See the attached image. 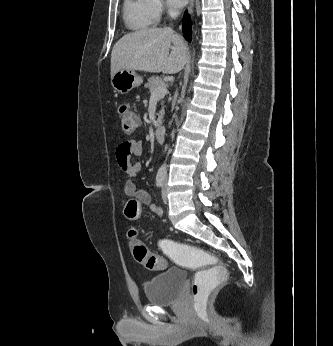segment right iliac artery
<instances>
[{
	"label": "right iliac artery",
	"instance_id": "right-iliac-artery-1",
	"mask_svg": "<svg viewBox=\"0 0 333 346\" xmlns=\"http://www.w3.org/2000/svg\"><path fill=\"white\" fill-rule=\"evenodd\" d=\"M165 175H166V171L163 168H160L157 172L156 175V186L157 187H162L164 184V180H165Z\"/></svg>",
	"mask_w": 333,
	"mask_h": 346
}]
</instances>
